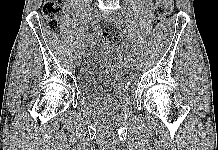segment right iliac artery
Instances as JSON below:
<instances>
[{
  "instance_id": "right-iliac-artery-1",
  "label": "right iliac artery",
  "mask_w": 218,
  "mask_h": 150,
  "mask_svg": "<svg viewBox=\"0 0 218 150\" xmlns=\"http://www.w3.org/2000/svg\"><path fill=\"white\" fill-rule=\"evenodd\" d=\"M97 24V21H93L92 23H91V26H88V31L90 32L89 34L90 35H86V37H85V41L86 42H88V40H91L94 36H93V28H96V25ZM85 41H80V46H81V44H87Z\"/></svg>"
}]
</instances>
